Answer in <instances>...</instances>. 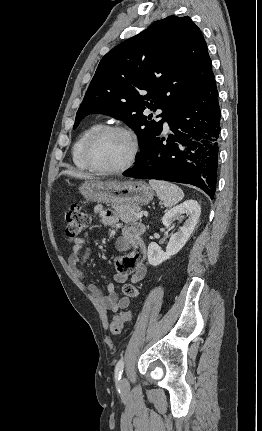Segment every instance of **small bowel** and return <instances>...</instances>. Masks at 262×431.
<instances>
[{
  "label": "small bowel",
  "instance_id": "small-bowel-1",
  "mask_svg": "<svg viewBox=\"0 0 262 431\" xmlns=\"http://www.w3.org/2000/svg\"><path fill=\"white\" fill-rule=\"evenodd\" d=\"M94 212L99 214L100 221L104 225H115L118 221L116 214L112 211H104L101 206H96ZM144 225L140 222H130L122 227V235L117 239L115 248L123 252L116 262L117 275L114 282H110L103 292L96 284H89V290L94 299L102 305L103 308L112 312H118L125 309L130 304L127 296L119 297L116 292V284L124 283L130 280L131 283H138L143 280L146 272L145 255L146 246L142 239ZM87 246L85 237H78L73 241L72 253L69 256L71 269L83 278L82 266L86 261V256L82 257L80 252L86 248L87 253L90 249Z\"/></svg>",
  "mask_w": 262,
  "mask_h": 431
}]
</instances>
